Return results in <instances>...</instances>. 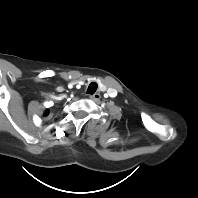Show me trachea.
Masks as SVG:
<instances>
[{
  "instance_id": "trachea-1",
  "label": "trachea",
  "mask_w": 198,
  "mask_h": 198,
  "mask_svg": "<svg viewBox=\"0 0 198 198\" xmlns=\"http://www.w3.org/2000/svg\"><path fill=\"white\" fill-rule=\"evenodd\" d=\"M97 87H98L97 83H95V82L90 83L89 86H88V89H87V93L88 94H94L97 90Z\"/></svg>"
}]
</instances>
